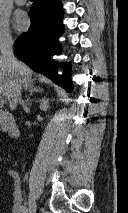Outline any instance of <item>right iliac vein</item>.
Returning <instances> with one entry per match:
<instances>
[{
  "label": "right iliac vein",
  "instance_id": "63e3f726",
  "mask_svg": "<svg viewBox=\"0 0 128 213\" xmlns=\"http://www.w3.org/2000/svg\"><path fill=\"white\" fill-rule=\"evenodd\" d=\"M36 209H37V203H36L35 199L32 197L30 199L29 208H28L27 213H36Z\"/></svg>",
  "mask_w": 128,
  "mask_h": 213
}]
</instances>
